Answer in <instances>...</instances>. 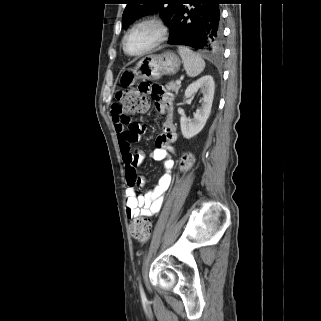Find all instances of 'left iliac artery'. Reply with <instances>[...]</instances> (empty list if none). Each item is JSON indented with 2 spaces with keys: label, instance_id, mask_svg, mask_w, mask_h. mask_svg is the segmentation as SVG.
Wrapping results in <instances>:
<instances>
[{
  "label": "left iliac artery",
  "instance_id": "left-iliac-artery-1",
  "mask_svg": "<svg viewBox=\"0 0 321 321\" xmlns=\"http://www.w3.org/2000/svg\"><path fill=\"white\" fill-rule=\"evenodd\" d=\"M139 288H140V293H141V296L144 297V291H143V288H142V285L140 283L139 285Z\"/></svg>",
  "mask_w": 321,
  "mask_h": 321
}]
</instances>
